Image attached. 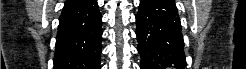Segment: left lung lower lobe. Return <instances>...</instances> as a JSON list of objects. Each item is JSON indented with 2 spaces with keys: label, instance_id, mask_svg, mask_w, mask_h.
I'll list each match as a JSON object with an SVG mask.
<instances>
[{
  "label": "left lung lower lobe",
  "instance_id": "left-lung-lower-lobe-1",
  "mask_svg": "<svg viewBox=\"0 0 246 69\" xmlns=\"http://www.w3.org/2000/svg\"><path fill=\"white\" fill-rule=\"evenodd\" d=\"M136 24L141 69L186 67L180 18L174 1L141 0Z\"/></svg>",
  "mask_w": 246,
  "mask_h": 69
}]
</instances>
